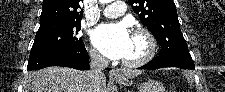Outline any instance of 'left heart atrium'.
I'll return each instance as SVG.
<instances>
[{"label": "left heart atrium", "mask_w": 225, "mask_h": 92, "mask_svg": "<svg viewBox=\"0 0 225 92\" xmlns=\"http://www.w3.org/2000/svg\"><path fill=\"white\" fill-rule=\"evenodd\" d=\"M94 46L107 58L125 57L131 41L128 26L123 22L102 24L92 34Z\"/></svg>", "instance_id": "left-heart-atrium-1"}]
</instances>
